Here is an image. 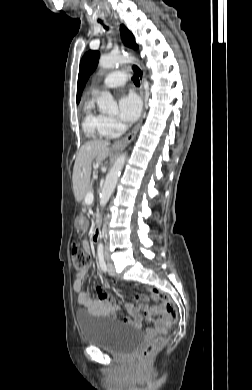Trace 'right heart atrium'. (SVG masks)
I'll return each mask as SVG.
<instances>
[{"label":"right heart atrium","instance_id":"1","mask_svg":"<svg viewBox=\"0 0 252 390\" xmlns=\"http://www.w3.org/2000/svg\"><path fill=\"white\" fill-rule=\"evenodd\" d=\"M103 129L108 134V136H114L121 131L122 125L115 118L104 116Z\"/></svg>","mask_w":252,"mask_h":390}]
</instances>
